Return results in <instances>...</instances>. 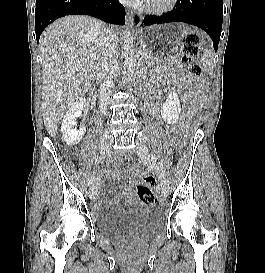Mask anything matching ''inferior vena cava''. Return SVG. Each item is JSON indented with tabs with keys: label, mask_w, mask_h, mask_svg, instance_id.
<instances>
[{
	"label": "inferior vena cava",
	"mask_w": 265,
	"mask_h": 273,
	"mask_svg": "<svg viewBox=\"0 0 265 273\" xmlns=\"http://www.w3.org/2000/svg\"><path fill=\"white\" fill-rule=\"evenodd\" d=\"M126 4V0H121ZM118 40L113 30L106 27L101 36V64L98 74L100 80L99 109L101 114L107 113V102L113 87V77L118 70Z\"/></svg>",
	"instance_id": "1"
}]
</instances>
